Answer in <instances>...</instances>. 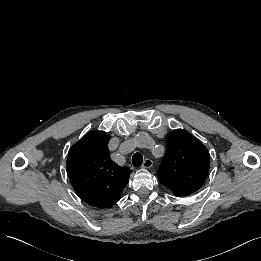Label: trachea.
Masks as SVG:
<instances>
[{
	"instance_id": "trachea-1",
	"label": "trachea",
	"mask_w": 261,
	"mask_h": 261,
	"mask_svg": "<svg viewBox=\"0 0 261 261\" xmlns=\"http://www.w3.org/2000/svg\"><path fill=\"white\" fill-rule=\"evenodd\" d=\"M143 163V156L140 153H135L132 157V164L134 167H140Z\"/></svg>"
}]
</instances>
